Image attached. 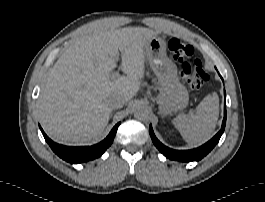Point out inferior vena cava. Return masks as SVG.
<instances>
[{
	"mask_svg": "<svg viewBox=\"0 0 265 202\" xmlns=\"http://www.w3.org/2000/svg\"><path fill=\"white\" fill-rule=\"evenodd\" d=\"M106 103L111 109H119L123 107L125 99L122 95L113 94L107 98Z\"/></svg>",
	"mask_w": 265,
	"mask_h": 202,
	"instance_id": "obj_1",
	"label": "inferior vena cava"
}]
</instances>
